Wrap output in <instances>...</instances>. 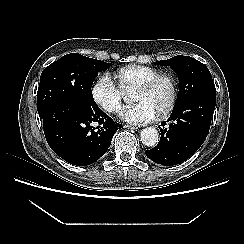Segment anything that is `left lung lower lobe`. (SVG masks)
Here are the masks:
<instances>
[{"label":"left lung lower lobe","mask_w":244,"mask_h":244,"mask_svg":"<svg viewBox=\"0 0 244 244\" xmlns=\"http://www.w3.org/2000/svg\"><path fill=\"white\" fill-rule=\"evenodd\" d=\"M215 102L216 94H203L174 106L168 121L175 122L168 129L160 130L159 143L151 150H146V156L165 166L186 161L199 149L208 135Z\"/></svg>","instance_id":"obj_1"}]
</instances>
